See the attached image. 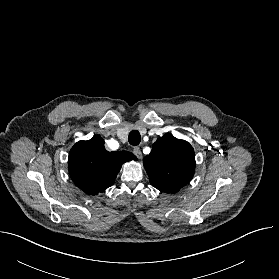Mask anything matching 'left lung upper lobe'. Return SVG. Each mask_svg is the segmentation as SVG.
Masks as SVG:
<instances>
[{
    "mask_svg": "<svg viewBox=\"0 0 279 279\" xmlns=\"http://www.w3.org/2000/svg\"><path fill=\"white\" fill-rule=\"evenodd\" d=\"M143 164L152 186L161 192L175 193L192 179L195 154L187 141L167 133L153 144Z\"/></svg>",
    "mask_w": 279,
    "mask_h": 279,
    "instance_id": "obj_1",
    "label": "left lung upper lobe"
}]
</instances>
